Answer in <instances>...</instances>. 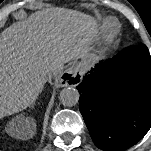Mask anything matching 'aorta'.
<instances>
[{"instance_id": "obj_1", "label": "aorta", "mask_w": 151, "mask_h": 151, "mask_svg": "<svg viewBox=\"0 0 151 151\" xmlns=\"http://www.w3.org/2000/svg\"><path fill=\"white\" fill-rule=\"evenodd\" d=\"M79 92L73 87L64 88L59 95V100L61 104L66 107L75 106L79 101Z\"/></svg>"}]
</instances>
